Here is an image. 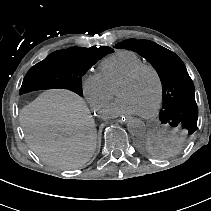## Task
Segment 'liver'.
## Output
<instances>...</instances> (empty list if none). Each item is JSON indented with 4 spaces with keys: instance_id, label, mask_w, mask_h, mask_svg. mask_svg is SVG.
<instances>
[{
    "instance_id": "1",
    "label": "liver",
    "mask_w": 211,
    "mask_h": 211,
    "mask_svg": "<svg viewBox=\"0 0 211 211\" xmlns=\"http://www.w3.org/2000/svg\"><path fill=\"white\" fill-rule=\"evenodd\" d=\"M28 146L62 169L85 164L96 147L94 119L83 98L64 89L45 91L20 110Z\"/></svg>"
}]
</instances>
